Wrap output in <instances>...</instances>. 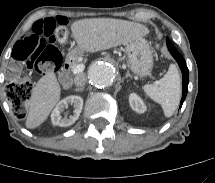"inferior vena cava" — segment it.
Segmentation results:
<instances>
[{
    "label": "inferior vena cava",
    "instance_id": "inferior-vena-cava-1",
    "mask_svg": "<svg viewBox=\"0 0 215 183\" xmlns=\"http://www.w3.org/2000/svg\"><path fill=\"white\" fill-rule=\"evenodd\" d=\"M86 82H87V76L84 73L77 75L74 79V84L76 86L82 87L86 84Z\"/></svg>",
    "mask_w": 215,
    "mask_h": 183
}]
</instances>
